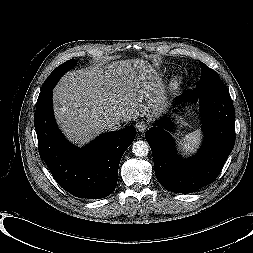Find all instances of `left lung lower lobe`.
I'll use <instances>...</instances> for the list:
<instances>
[{"mask_svg":"<svg viewBox=\"0 0 253 253\" xmlns=\"http://www.w3.org/2000/svg\"><path fill=\"white\" fill-rule=\"evenodd\" d=\"M200 102L204 140L198 153L190 159L178 157L174 141L166 129L167 119L145 133L153 154L155 175L168 191L192 193L212 183L220 173L235 143V111L225 84L199 95L185 91L176 101Z\"/></svg>","mask_w":253,"mask_h":253,"instance_id":"1","label":"left lung lower lobe"}]
</instances>
